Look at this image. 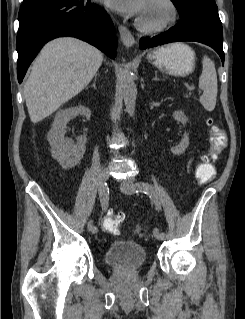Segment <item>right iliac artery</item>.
Listing matches in <instances>:
<instances>
[{
  "label": "right iliac artery",
  "mask_w": 245,
  "mask_h": 319,
  "mask_svg": "<svg viewBox=\"0 0 245 319\" xmlns=\"http://www.w3.org/2000/svg\"><path fill=\"white\" fill-rule=\"evenodd\" d=\"M108 194H109V190H108V187L106 186V183L105 185L103 186L102 188V195L100 196V202H101V206L103 209H106L107 206H108ZM93 233H97L98 232V228L96 226H93Z\"/></svg>",
  "instance_id": "obj_1"
}]
</instances>
